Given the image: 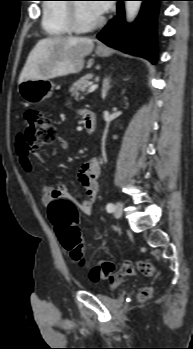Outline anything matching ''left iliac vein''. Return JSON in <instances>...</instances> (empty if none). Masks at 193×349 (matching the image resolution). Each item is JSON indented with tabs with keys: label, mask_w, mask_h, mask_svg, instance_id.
I'll list each match as a JSON object with an SVG mask.
<instances>
[{
	"label": "left iliac vein",
	"mask_w": 193,
	"mask_h": 349,
	"mask_svg": "<svg viewBox=\"0 0 193 349\" xmlns=\"http://www.w3.org/2000/svg\"><path fill=\"white\" fill-rule=\"evenodd\" d=\"M123 213V205L121 202H117L115 204V209H114V215L119 218L122 216Z\"/></svg>",
	"instance_id": "1"
}]
</instances>
